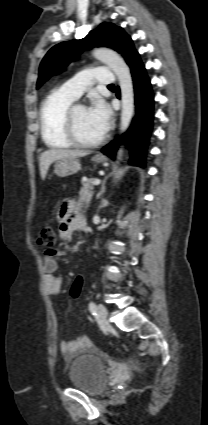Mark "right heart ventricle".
I'll list each match as a JSON object with an SVG mask.
<instances>
[{"label":"right heart ventricle","instance_id":"e07e8e85","mask_svg":"<svg viewBox=\"0 0 208 425\" xmlns=\"http://www.w3.org/2000/svg\"><path fill=\"white\" fill-rule=\"evenodd\" d=\"M75 99L60 89L52 91L40 108V132L45 145L51 149H68L73 145L65 133L64 116Z\"/></svg>","mask_w":208,"mask_h":425}]
</instances>
